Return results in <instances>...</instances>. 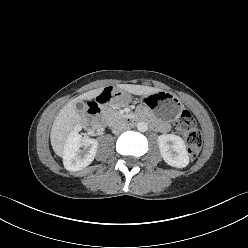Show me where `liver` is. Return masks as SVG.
Masks as SVG:
<instances>
[{
  "label": "liver",
  "mask_w": 248,
  "mask_h": 248,
  "mask_svg": "<svg viewBox=\"0 0 248 248\" xmlns=\"http://www.w3.org/2000/svg\"><path fill=\"white\" fill-rule=\"evenodd\" d=\"M118 88L134 94V95H150L161 91L158 88L133 85V84H119ZM103 88H97L90 90L82 95L70 100L58 113L54 123L52 125L50 140L54 152L62 157L65 151V144L69 134L75 129V127L81 123L82 118L78 113L76 104L80 100H90L97 97Z\"/></svg>",
  "instance_id": "obj_1"
}]
</instances>
